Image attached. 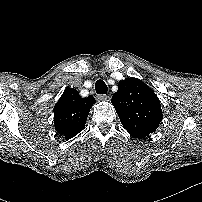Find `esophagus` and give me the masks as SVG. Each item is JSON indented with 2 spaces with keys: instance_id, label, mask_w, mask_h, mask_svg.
Masks as SVG:
<instances>
[{
  "instance_id": "1",
  "label": "esophagus",
  "mask_w": 202,
  "mask_h": 202,
  "mask_svg": "<svg viewBox=\"0 0 202 202\" xmlns=\"http://www.w3.org/2000/svg\"><path fill=\"white\" fill-rule=\"evenodd\" d=\"M111 98L110 95H97V99L98 100H106V101H109Z\"/></svg>"
}]
</instances>
